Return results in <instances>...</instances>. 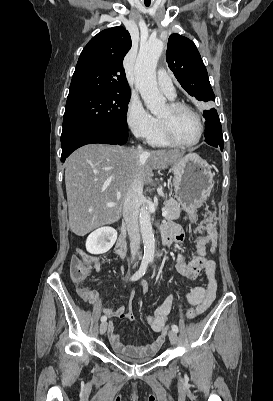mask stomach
Here are the masks:
<instances>
[{
    "label": "stomach",
    "mask_w": 273,
    "mask_h": 401,
    "mask_svg": "<svg viewBox=\"0 0 273 401\" xmlns=\"http://www.w3.org/2000/svg\"><path fill=\"white\" fill-rule=\"evenodd\" d=\"M171 170L177 201L191 223H195L197 209L205 203L213 186L211 166L199 154H186L174 162Z\"/></svg>",
    "instance_id": "obj_1"
}]
</instances>
